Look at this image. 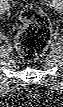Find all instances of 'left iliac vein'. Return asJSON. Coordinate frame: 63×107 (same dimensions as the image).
<instances>
[{"mask_svg":"<svg viewBox=\"0 0 63 107\" xmlns=\"http://www.w3.org/2000/svg\"><path fill=\"white\" fill-rule=\"evenodd\" d=\"M53 3H54L56 10L60 11L61 8L59 7L58 2L54 1Z\"/></svg>","mask_w":63,"mask_h":107,"instance_id":"4c4485c4","label":"left iliac vein"}]
</instances>
